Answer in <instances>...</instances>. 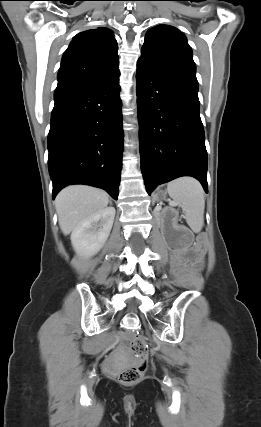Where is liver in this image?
<instances>
[{"instance_id": "6515ba94", "label": "liver", "mask_w": 261, "mask_h": 427, "mask_svg": "<svg viewBox=\"0 0 261 427\" xmlns=\"http://www.w3.org/2000/svg\"><path fill=\"white\" fill-rule=\"evenodd\" d=\"M108 202L105 191L90 186L73 185L61 190L55 206L63 234H70L80 223L105 209Z\"/></svg>"}]
</instances>
